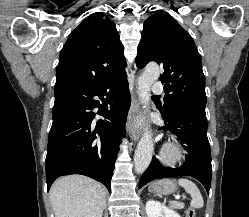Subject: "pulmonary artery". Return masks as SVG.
Returning a JSON list of instances; mask_svg holds the SVG:
<instances>
[{"label":"pulmonary artery","mask_w":249,"mask_h":217,"mask_svg":"<svg viewBox=\"0 0 249 217\" xmlns=\"http://www.w3.org/2000/svg\"><path fill=\"white\" fill-rule=\"evenodd\" d=\"M151 91L153 94H156V95L162 94V91H163L162 84L159 82L153 83L151 87Z\"/></svg>","instance_id":"pulmonary-artery-1"}]
</instances>
